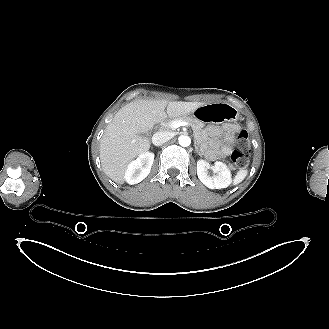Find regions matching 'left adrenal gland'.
Returning <instances> with one entry per match:
<instances>
[{
	"label": "left adrenal gland",
	"mask_w": 329,
	"mask_h": 329,
	"mask_svg": "<svg viewBox=\"0 0 329 329\" xmlns=\"http://www.w3.org/2000/svg\"><path fill=\"white\" fill-rule=\"evenodd\" d=\"M195 149H196V152L197 154L201 155L200 151L198 150V147L195 145Z\"/></svg>",
	"instance_id": "a2214340"
}]
</instances>
